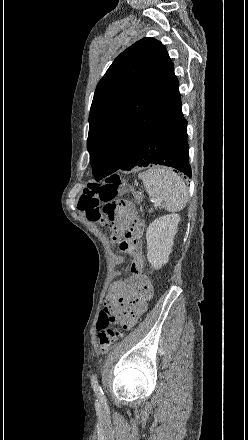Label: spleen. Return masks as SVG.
Returning a JSON list of instances; mask_svg holds the SVG:
<instances>
[{
    "instance_id": "1",
    "label": "spleen",
    "mask_w": 248,
    "mask_h": 440,
    "mask_svg": "<svg viewBox=\"0 0 248 440\" xmlns=\"http://www.w3.org/2000/svg\"><path fill=\"white\" fill-rule=\"evenodd\" d=\"M150 197L158 203L166 204V210L177 212L182 210L188 202V190L184 181L165 167H153L138 176Z\"/></svg>"
}]
</instances>
